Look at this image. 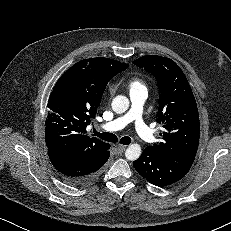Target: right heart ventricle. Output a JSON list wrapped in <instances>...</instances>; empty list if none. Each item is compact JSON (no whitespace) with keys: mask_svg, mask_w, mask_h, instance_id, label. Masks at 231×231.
Wrapping results in <instances>:
<instances>
[{"mask_svg":"<svg viewBox=\"0 0 231 231\" xmlns=\"http://www.w3.org/2000/svg\"><path fill=\"white\" fill-rule=\"evenodd\" d=\"M128 89L129 93H132L135 91L146 90V86L141 79L132 78L128 81Z\"/></svg>","mask_w":231,"mask_h":231,"instance_id":"obj_1","label":"right heart ventricle"}]
</instances>
